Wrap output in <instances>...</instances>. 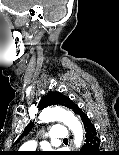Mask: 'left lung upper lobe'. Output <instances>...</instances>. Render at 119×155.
Listing matches in <instances>:
<instances>
[{
  "instance_id": "obj_1",
  "label": "left lung upper lobe",
  "mask_w": 119,
  "mask_h": 155,
  "mask_svg": "<svg viewBox=\"0 0 119 155\" xmlns=\"http://www.w3.org/2000/svg\"><path fill=\"white\" fill-rule=\"evenodd\" d=\"M51 105H61L71 110H74V107L76 106V104H74L68 97L62 95L60 92H51L50 94L43 96L38 107L43 109ZM33 124V122H30V124L26 126L23 134H26L33 127Z\"/></svg>"
}]
</instances>
